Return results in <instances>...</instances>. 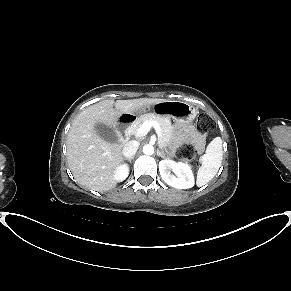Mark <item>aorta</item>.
<instances>
[{"label":"aorta","mask_w":291,"mask_h":291,"mask_svg":"<svg viewBox=\"0 0 291 291\" xmlns=\"http://www.w3.org/2000/svg\"><path fill=\"white\" fill-rule=\"evenodd\" d=\"M143 153L145 155H152L154 153V147L151 144H146L143 147Z\"/></svg>","instance_id":"762f6f07"}]
</instances>
